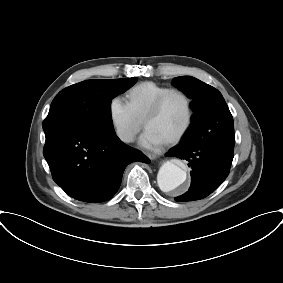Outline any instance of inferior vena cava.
<instances>
[{"instance_id":"602c4592","label":"inferior vena cava","mask_w":283,"mask_h":283,"mask_svg":"<svg viewBox=\"0 0 283 283\" xmlns=\"http://www.w3.org/2000/svg\"><path fill=\"white\" fill-rule=\"evenodd\" d=\"M121 140L125 142H131L133 141V134L129 131H125L119 134Z\"/></svg>"}]
</instances>
